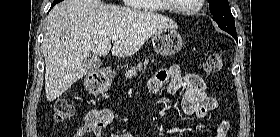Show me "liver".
I'll list each match as a JSON object with an SVG mask.
<instances>
[{"label":"liver","mask_w":280,"mask_h":137,"mask_svg":"<svg viewBox=\"0 0 280 137\" xmlns=\"http://www.w3.org/2000/svg\"><path fill=\"white\" fill-rule=\"evenodd\" d=\"M166 16L106 5L100 0H64L47 17L43 41L45 91L48 102L60 97L73 83L86 75L82 60L92 52L116 57L136 53L154 34L175 29ZM119 35L111 48V38Z\"/></svg>","instance_id":"liver-1"}]
</instances>
